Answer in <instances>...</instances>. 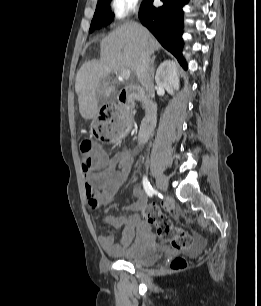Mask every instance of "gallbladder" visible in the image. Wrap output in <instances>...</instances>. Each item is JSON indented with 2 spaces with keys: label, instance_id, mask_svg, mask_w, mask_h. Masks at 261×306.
Returning <instances> with one entry per match:
<instances>
[{
  "label": "gallbladder",
  "instance_id": "1",
  "mask_svg": "<svg viewBox=\"0 0 261 306\" xmlns=\"http://www.w3.org/2000/svg\"><path fill=\"white\" fill-rule=\"evenodd\" d=\"M109 81L107 79H104L100 82L98 89H97V101L98 104H103L106 100L103 98L105 89L108 87Z\"/></svg>",
  "mask_w": 261,
  "mask_h": 306
}]
</instances>
